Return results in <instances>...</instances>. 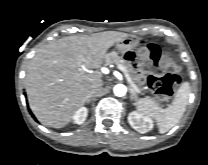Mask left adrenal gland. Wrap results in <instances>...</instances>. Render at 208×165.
Returning a JSON list of instances; mask_svg holds the SVG:
<instances>
[{
  "mask_svg": "<svg viewBox=\"0 0 208 165\" xmlns=\"http://www.w3.org/2000/svg\"><path fill=\"white\" fill-rule=\"evenodd\" d=\"M130 94H131L130 95L131 101H133V100L137 101L138 100L137 93L132 88H130ZM133 104H135V103H133Z\"/></svg>",
  "mask_w": 208,
  "mask_h": 165,
  "instance_id": "left-adrenal-gland-1",
  "label": "left adrenal gland"
}]
</instances>
